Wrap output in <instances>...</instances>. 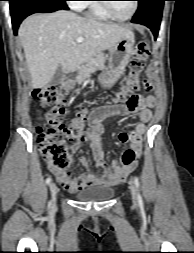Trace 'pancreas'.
I'll use <instances>...</instances> for the list:
<instances>
[{"instance_id": "cf45deb5", "label": "pancreas", "mask_w": 194, "mask_h": 253, "mask_svg": "<svg viewBox=\"0 0 194 253\" xmlns=\"http://www.w3.org/2000/svg\"><path fill=\"white\" fill-rule=\"evenodd\" d=\"M106 57L103 53H97L89 61L79 68L78 75L76 77L77 83H83L92 73L97 70L105 69Z\"/></svg>"}]
</instances>
